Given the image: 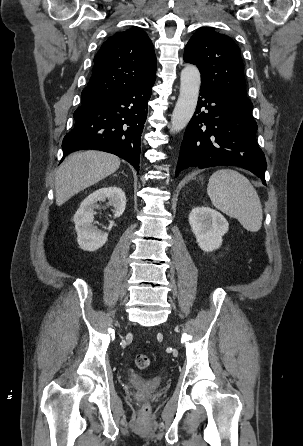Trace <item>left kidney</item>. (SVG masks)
I'll return each mask as SVG.
<instances>
[{"instance_id":"1","label":"left kidney","mask_w":303,"mask_h":446,"mask_svg":"<svg viewBox=\"0 0 303 446\" xmlns=\"http://www.w3.org/2000/svg\"><path fill=\"white\" fill-rule=\"evenodd\" d=\"M189 224L196 237L198 246L204 252H212L222 244V237L227 233L229 224L218 211L206 207H195L189 214Z\"/></svg>"}]
</instances>
